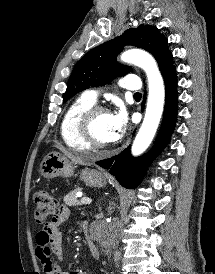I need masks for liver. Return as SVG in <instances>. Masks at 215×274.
Wrapping results in <instances>:
<instances>
[{
  "mask_svg": "<svg viewBox=\"0 0 215 274\" xmlns=\"http://www.w3.org/2000/svg\"><path fill=\"white\" fill-rule=\"evenodd\" d=\"M66 157H68L69 159H71V161L75 164H80V165H87V163L83 160L82 157L80 156H75L72 153L66 151L64 148H59Z\"/></svg>",
  "mask_w": 215,
  "mask_h": 274,
  "instance_id": "1",
  "label": "liver"
}]
</instances>
